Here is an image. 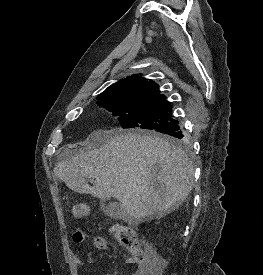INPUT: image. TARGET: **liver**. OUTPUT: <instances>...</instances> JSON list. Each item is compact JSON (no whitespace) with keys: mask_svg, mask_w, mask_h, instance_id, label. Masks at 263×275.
Masks as SVG:
<instances>
[{"mask_svg":"<svg viewBox=\"0 0 263 275\" xmlns=\"http://www.w3.org/2000/svg\"><path fill=\"white\" fill-rule=\"evenodd\" d=\"M83 145L86 150L57 163L55 175L74 192L115 197L129 223L164 217L192 189L191 161L159 136L96 130ZM86 178L94 180L92 187Z\"/></svg>","mask_w":263,"mask_h":275,"instance_id":"liver-1","label":"liver"}]
</instances>
